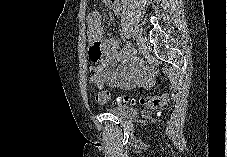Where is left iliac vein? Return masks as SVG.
<instances>
[{
    "instance_id": "4c4485c4",
    "label": "left iliac vein",
    "mask_w": 227,
    "mask_h": 157,
    "mask_svg": "<svg viewBox=\"0 0 227 157\" xmlns=\"http://www.w3.org/2000/svg\"><path fill=\"white\" fill-rule=\"evenodd\" d=\"M137 43H138L139 52L144 56L147 55L149 53V49L142 35H140V38L137 39Z\"/></svg>"
}]
</instances>
